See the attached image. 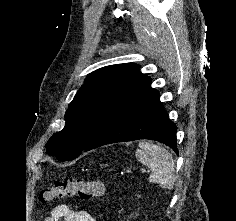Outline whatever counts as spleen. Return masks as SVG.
I'll use <instances>...</instances> for the list:
<instances>
[{"label": "spleen", "mask_w": 236, "mask_h": 221, "mask_svg": "<svg viewBox=\"0 0 236 221\" xmlns=\"http://www.w3.org/2000/svg\"><path fill=\"white\" fill-rule=\"evenodd\" d=\"M138 146L135 155L139 162L151 169L149 181L158 183L163 188H173L176 179L175 163L170 152L145 141H140Z\"/></svg>", "instance_id": "spleen-1"}]
</instances>
